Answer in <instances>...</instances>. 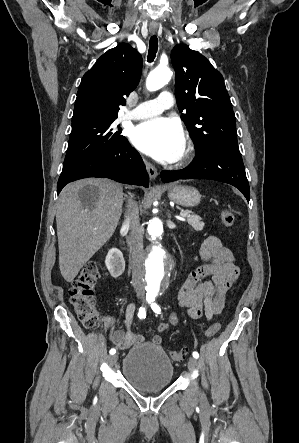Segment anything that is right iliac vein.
Segmentation results:
<instances>
[{"mask_svg":"<svg viewBox=\"0 0 299 443\" xmlns=\"http://www.w3.org/2000/svg\"><path fill=\"white\" fill-rule=\"evenodd\" d=\"M117 359H118L117 354L112 355L111 357H109V363L113 365L116 363Z\"/></svg>","mask_w":299,"mask_h":443,"instance_id":"right-iliac-vein-1","label":"right iliac vein"}]
</instances>
